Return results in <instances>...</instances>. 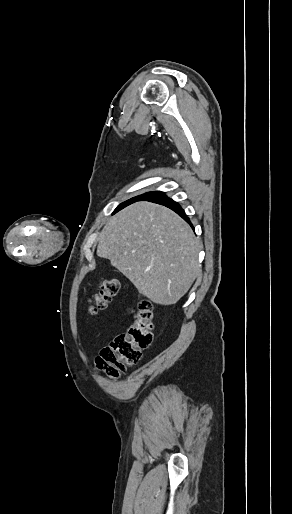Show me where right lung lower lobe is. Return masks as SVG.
I'll use <instances>...</instances> for the list:
<instances>
[{
	"label": "right lung lower lobe",
	"instance_id": "1",
	"mask_svg": "<svg viewBox=\"0 0 292 514\" xmlns=\"http://www.w3.org/2000/svg\"><path fill=\"white\" fill-rule=\"evenodd\" d=\"M140 201H149V202H154L157 204L164 205V206L170 208L171 210H173L174 212H176L185 221L190 223L189 218L185 215V212L182 209V207L178 203H176L174 200L167 197V195L164 192H161V191L148 192Z\"/></svg>",
	"mask_w": 292,
	"mask_h": 514
}]
</instances>
